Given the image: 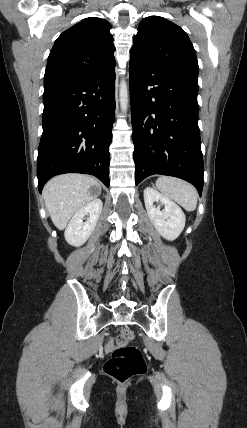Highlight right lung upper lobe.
Returning a JSON list of instances; mask_svg holds the SVG:
<instances>
[{"mask_svg": "<svg viewBox=\"0 0 247 428\" xmlns=\"http://www.w3.org/2000/svg\"><path fill=\"white\" fill-rule=\"evenodd\" d=\"M111 24L90 17L64 31L50 52L44 88L80 80L115 61Z\"/></svg>", "mask_w": 247, "mask_h": 428, "instance_id": "1", "label": "right lung upper lobe"}]
</instances>
